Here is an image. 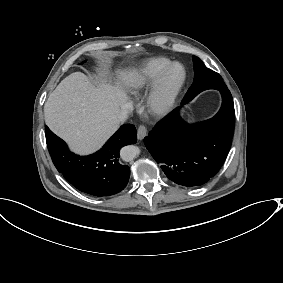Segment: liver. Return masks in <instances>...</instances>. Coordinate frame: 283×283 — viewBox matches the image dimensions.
<instances>
[{"mask_svg":"<svg viewBox=\"0 0 283 283\" xmlns=\"http://www.w3.org/2000/svg\"><path fill=\"white\" fill-rule=\"evenodd\" d=\"M142 85L136 69L120 72L118 85H93L81 72L64 78L44 105L45 123L71 150L89 154L99 149L117 130L118 116L132 104L124 87Z\"/></svg>","mask_w":283,"mask_h":283,"instance_id":"obj_1","label":"liver"}]
</instances>
